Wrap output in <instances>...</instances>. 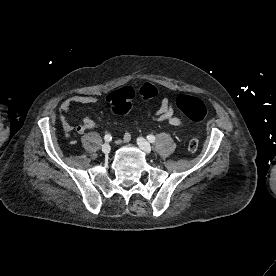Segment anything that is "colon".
Masks as SVG:
<instances>
[{"instance_id": "5ec220e1", "label": "colon", "mask_w": 276, "mask_h": 276, "mask_svg": "<svg viewBox=\"0 0 276 276\" xmlns=\"http://www.w3.org/2000/svg\"><path fill=\"white\" fill-rule=\"evenodd\" d=\"M156 88L152 84H144L139 90V96L144 99H151L156 95ZM136 96L135 90L130 87L111 94L108 98L112 111L118 115L129 113L133 107ZM177 108L187 116L192 122H200L206 115V108L201 100L196 97L181 94L176 98ZM198 149V140L191 139L187 145V151L196 152Z\"/></svg>"}]
</instances>
